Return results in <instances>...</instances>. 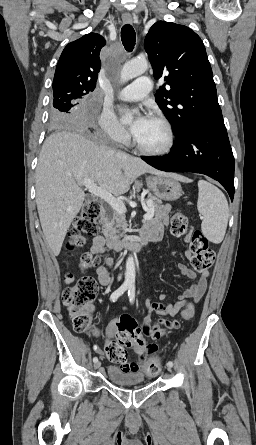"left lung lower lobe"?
<instances>
[{
    "label": "left lung lower lobe",
    "instance_id": "1",
    "mask_svg": "<svg viewBox=\"0 0 256 445\" xmlns=\"http://www.w3.org/2000/svg\"><path fill=\"white\" fill-rule=\"evenodd\" d=\"M166 172H195L219 181L234 197V157L224 123H194L176 137L171 152L141 157Z\"/></svg>",
    "mask_w": 256,
    "mask_h": 445
}]
</instances>
